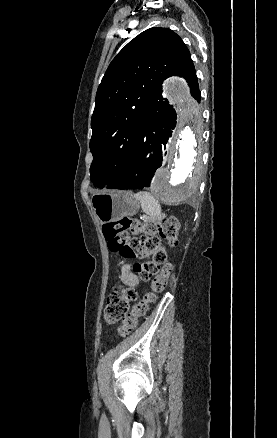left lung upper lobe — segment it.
I'll return each mask as SVG.
<instances>
[{
  "label": "left lung upper lobe",
  "mask_w": 277,
  "mask_h": 438,
  "mask_svg": "<svg viewBox=\"0 0 277 438\" xmlns=\"http://www.w3.org/2000/svg\"><path fill=\"white\" fill-rule=\"evenodd\" d=\"M172 75L184 77L192 96L200 100L189 50L168 28L143 31L110 63L98 87L91 118L90 178L95 186H109L124 172L143 112L152 98H162L161 84Z\"/></svg>",
  "instance_id": "left-lung-upper-lobe-1"
}]
</instances>
